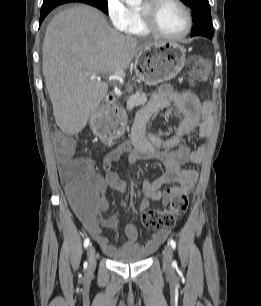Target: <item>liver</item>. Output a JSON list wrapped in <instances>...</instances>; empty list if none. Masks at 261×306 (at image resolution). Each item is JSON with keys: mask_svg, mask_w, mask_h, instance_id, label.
<instances>
[{"mask_svg": "<svg viewBox=\"0 0 261 306\" xmlns=\"http://www.w3.org/2000/svg\"><path fill=\"white\" fill-rule=\"evenodd\" d=\"M154 44L116 32L88 5L55 15L46 29L42 66L58 127L68 135L82 131L108 93L107 83L91 75L124 71Z\"/></svg>", "mask_w": 261, "mask_h": 306, "instance_id": "6515ba94", "label": "liver"}]
</instances>
